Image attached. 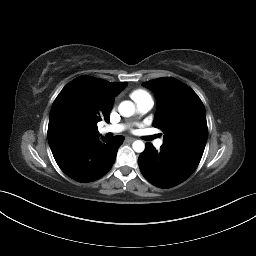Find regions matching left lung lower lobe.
Returning a JSON list of instances; mask_svg holds the SVG:
<instances>
[{
	"label": "left lung lower lobe",
	"mask_w": 256,
	"mask_h": 256,
	"mask_svg": "<svg viewBox=\"0 0 256 256\" xmlns=\"http://www.w3.org/2000/svg\"><path fill=\"white\" fill-rule=\"evenodd\" d=\"M138 162L143 176L160 188H171L182 183L198 166L162 147L157 151L151 143H146Z\"/></svg>",
	"instance_id": "1"
}]
</instances>
